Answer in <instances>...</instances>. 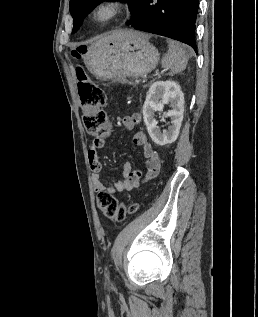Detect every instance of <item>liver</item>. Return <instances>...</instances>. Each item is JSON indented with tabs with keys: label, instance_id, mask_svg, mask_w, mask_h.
<instances>
[{
	"label": "liver",
	"instance_id": "1",
	"mask_svg": "<svg viewBox=\"0 0 258 317\" xmlns=\"http://www.w3.org/2000/svg\"><path fill=\"white\" fill-rule=\"evenodd\" d=\"M126 36V30H113L112 34H108V36H100L96 42H102V40H122ZM95 44V42H92Z\"/></svg>",
	"mask_w": 258,
	"mask_h": 317
}]
</instances>
